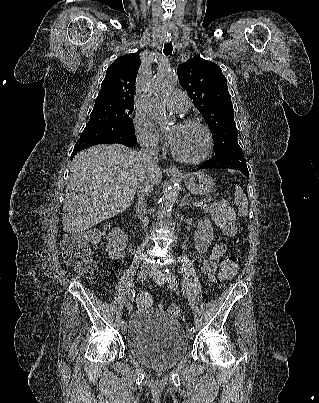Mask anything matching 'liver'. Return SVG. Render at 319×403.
<instances>
[{
	"mask_svg": "<svg viewBox=\"0 0 319 403\" xmlns=\"http://www.w3.org/2000/svg\"><path fill=\"white\" fill-rule=\"evenodd\" d=\"M145 175L140 154L121 144L97 145L77 154L66 188L64 231L82 232L127 210ZM151 177L154 185L160 184L159 167Z\"/></svg>",
	"mask_w": 319,
	"mask_h": 403,
	"instance_id": "1",
	"label": "liver"
}]
</instances>
